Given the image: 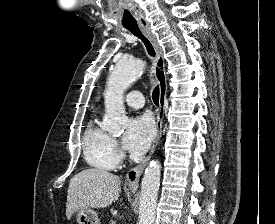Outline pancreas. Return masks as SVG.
I'll return each instance as SVG.
<instances>
[{
    "mask_svg": "<svg viewBox=\"0 0 275 224\" xmlns=\"http://www.w3.org/2000/svg\"><path fill=\"white\" fill-rule=\"evenodd\" d=\"M110 224H115V223H114V221H111V223H110Z\"/></svg>",
    "mask_w": 275,
    "mask_h": 224,
    "instance_id": "cf45deb5",
    "label": "pancreas"
}]
</instances>
